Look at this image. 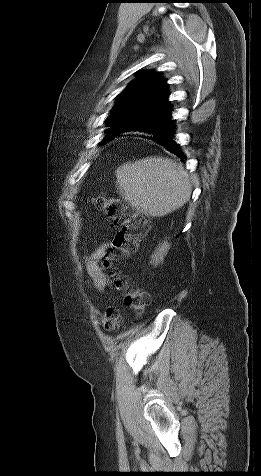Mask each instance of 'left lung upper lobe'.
<instances>
[{
  "instance_id": "1",
  "label": "left lung upper lobe",
  "mask_w": 261,
  "mask_h": 476,
  "mask_svg": "<svg viewBox=\"0 0 261 476\" xmlns=\"http://www.w3.org/2000/svg\"><path fill=\"white\" fill-rule=\"evenodd\" d=\"M166 81L157 72L140 74L120 94L114 109L107 118L111 131L133 121L159 117L171 110Z\"/></svg>"
}]
</instances>
